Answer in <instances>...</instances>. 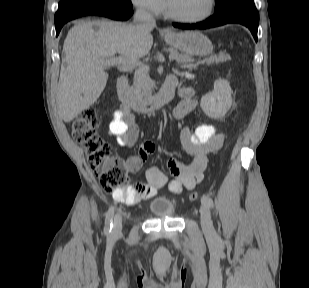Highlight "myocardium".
Masks as SVG:
<instances>
[{
	"instance_id": "myocardium-1",
	"label": "myocardium",
	"mask_w": 309,
	"mask_h": 288,
	"mask_svg": "<svg viewBox=\"0 0 309 288\" xmlns=\"http://www.w3.org/2000/svg\"><path fill=\"white\" fill-rule=\"evenodd\" d=\"M215 7H216V0H209V8L206 11V13L198 17L187 18L174 13L169 5L168 0H165V11L167 16L175 21L186 24H197L209 19L213 15Z\"/></svg>"
}]
</instances>
